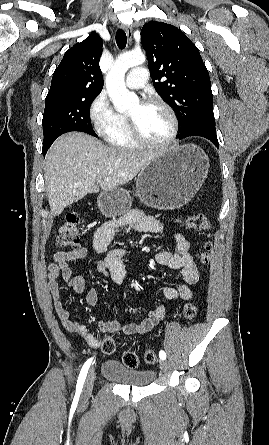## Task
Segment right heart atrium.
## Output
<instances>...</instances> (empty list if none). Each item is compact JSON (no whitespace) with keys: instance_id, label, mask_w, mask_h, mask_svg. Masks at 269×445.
<instances>
[{"instance_id":"d8ad5b80","label":"right heart atrium","mask_w":269,"mask_h":445,"mask_svg":"<svg viewBox=\"0 0 269 445\" xmlns=\"http://www.w3.org/2000/svg\"><path fill=\"white\" fill-rule=\"evenodd\" d=\"M116 114L105 91L98 94L89 107L90 121L99 133H103L113 123Z\"/></svg>"}]
</instances>
